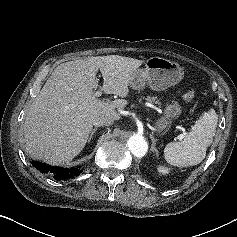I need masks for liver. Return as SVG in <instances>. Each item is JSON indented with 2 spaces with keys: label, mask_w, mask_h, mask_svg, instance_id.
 Listing matches in <instances>:
<instances>
[{
  "label": "liver",
  "mask_w": 237,
  "mask_h": 237,
  "mask_svg": "<svg viewBox=\"0 0 237 237\" xmlns=\"http://www.w3.org/2000/svg\"><path fill=\"white\" fill-rule=\"evenodd\" d=\"M143 61L119 55L88 57L60 64L31 104L24 122L27 152L49 164H63L85 147L98 116L120 119L123 99L102 101L94 94L101 89L121 98L128 95L133 73Z\"/></svg>",
  "instance_id": "liver-1"
}]
</instances>
